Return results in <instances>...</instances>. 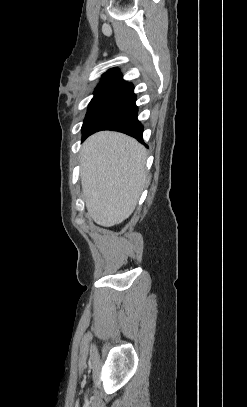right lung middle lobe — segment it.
Returning <instances> with one entry per match:
<instances>
[{"label":"right lung middle lobe","mask_w":247,"mask_h":407,"mask_svg":"<svg viewBox=\"0 0 247 407\" xmlns=\"http://www.w3.org/2000/svg\"><path fill=\"white\" fill-rule=\"evenodd\" d=\"M136 97L133 90L118 89L96 94L88 106L82 126L83 137L92 131L105 117Z\"/></svg>","instance_id":"dd1d6c3e"}]
</instances>
